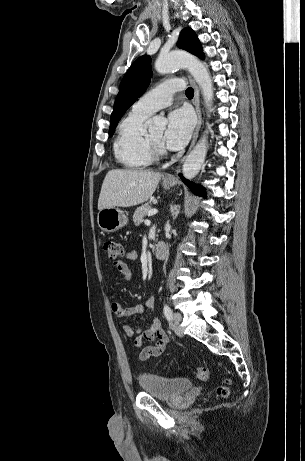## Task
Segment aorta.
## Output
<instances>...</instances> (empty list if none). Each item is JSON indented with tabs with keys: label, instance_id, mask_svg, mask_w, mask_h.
Here are the masks:
<instances>
[{
	"label": "aorta",
	"instance_id": "1",
	"mask_svg": "<svg viewBox=\"0 0 305 461\" xmlns=\"http://www.w3.org/2000/svg\"><path fill=\"white\" fill-rule=\"evenodd\" d=\"M185 67L189 70L199 85L205 105L211 107L213 100V85L207 67L196 57L181 51L170 52L160 55L155 62V69L160 74H166L174 69ZM149 131L163 130L167 120L161 116H155L148 120ZM207 140L203 138L196 144L187 156L182 172L186 179H193L201 169L207 153Z\"/></svg>",
	"mask_w": 305,
	"mask_h": 461
}]
</instances>
